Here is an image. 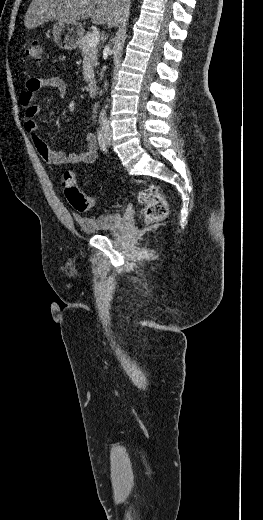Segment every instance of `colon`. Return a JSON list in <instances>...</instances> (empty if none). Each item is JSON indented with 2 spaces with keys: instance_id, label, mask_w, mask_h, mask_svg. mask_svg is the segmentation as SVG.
Masks as SVG:
<instances>
[{
  "instance_id": "obj_1",
  "label": "colon",
  "mask_w": 263,
  "mask_h": 520,
  "mask_svg": "<svg viewBox=\"0 0 263 520\" xmlns=\"http://www.w3.org/2000/svg\"><path fill=\"white\" fill-rule=\"evenodd\" d=\"M43 44L33 41L25 50V55L34 62H40ZM62 185L69 204L79 212H87L95 206V199L83 194L72 172L67 171L62 178ZM138 202L144 206L143 215L147 222H157L166 218L168 206L156 185H148L138 193Z\"/></svg>"
}]
</instances>
